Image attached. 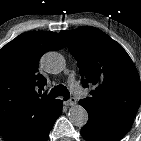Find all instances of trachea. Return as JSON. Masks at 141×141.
I'll return each instance as SVG.
<instances>
[{"label": "trachea", "instance_id": "3493384b", "mask_svg": "<svg viewBox=\"0 0 141 141\" xmlns=\"http://www.w3.org/2000/svg\"><path fill=\"white\" fill-rule=\"evenodd\" d=\"M50 97H58V96H63V100H68L70 97V93L68 91V89L64 86V85H58L55 86L53 89H51L50 93H49Z\"/></svg>", "mask_w": 141, "mask_h": 141}]
</instances>
